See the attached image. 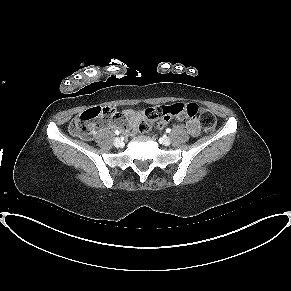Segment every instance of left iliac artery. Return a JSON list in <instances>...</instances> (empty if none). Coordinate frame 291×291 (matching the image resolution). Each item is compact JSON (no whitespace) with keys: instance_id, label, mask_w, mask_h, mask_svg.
<instances>
[{"instance_id":"44dca946","label":"left iliac artery","mask_w":291,"mask_h":291,"mask_svg":"<svg viewBox=\"0 0 291 291\" xmlns=\"http://www.w3.org/2000/svg\"><path fill=\"white\" fill-rule=\"evenodd\" d=\"M166 132H167V133H170V132H171V129H170V128H167V129H166Z\"/></svg>"}]
</instances>
